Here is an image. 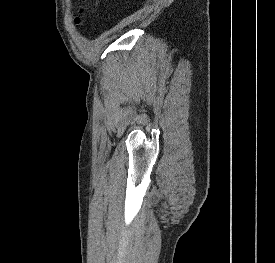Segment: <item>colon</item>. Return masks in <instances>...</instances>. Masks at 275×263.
<instances>
[{"label":"colon","instance_id":"5ec220e1","mask_svg":"<svg viewBox=\"0 0 275 263\" xmlns=\"http://www.w3.org/2000/svg\"><path fill=\"white\" fill-rule=\"evenodd\" d=\"M83 11H84V9H81V10H80V13H83ZM75 22H76L77 24H80V22H81V17H77L76 20H75Z\"/></svg>","mask_w":275,"mask_h":263}]
</instances>
